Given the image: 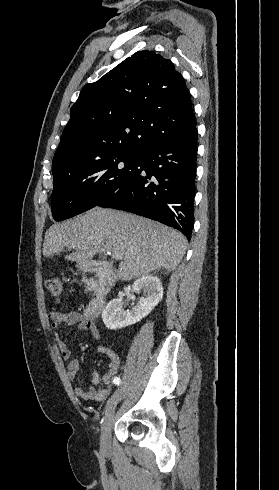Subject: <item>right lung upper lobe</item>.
Here are the masks:
<instances>
[{"label":"right lung upper lobe","instance_id":"right-lung-upper-lobe-1","mask_svg":"<svg viewBox=\"0 0 279 490\" xmlns=\"http://www.w3.org/2000/svg\"><path fill=\"white\" fill-rule=\"evenodd\" d=\"M196 125L172 62L154 51L136 52L81 90L53 158V177L110 152L142 157Z\"/></svg>","mask_w":279,"mask_h":490}]
</instances>
